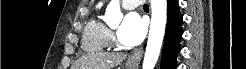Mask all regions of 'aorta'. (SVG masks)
<instances>
[{
	"mask_svg": "<svg viewBox=\"0 0 246 69\" xmlns=\"http://www.w3.org/2000/svg\"><path fill=\"white\" fill-rule=\"evenodd\" d=\"M151 24L145 51L143 69H154L162 47L167 19V1L151 0ZM119 0H111L105 12L107 24L119 23L122 19Z\"/></svg>",
	"mask_w": 246,
	"mask_h": 69,
	"instance_id": "1",
	"label": "aorta"
}]
</instances>
